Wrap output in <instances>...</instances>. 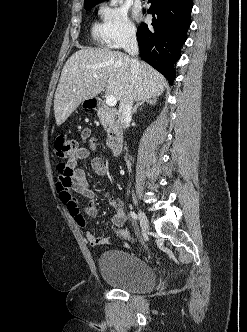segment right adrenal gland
I'll use <instances>...</instances> for the list:
<instances>
[{
	"mask_svg": "<svg viewBox=\"0 0 247 332\" xmlns=\"http://www.w3.org/2000/svg\"><path fill=\"white\" fill-rule=\"evenodd\" d=\"M145 103L150 104V105H154V104H156V98L152 97V98L144 99V100H142L140 102H137V104L135 105V107L132 110V114H135L136 111H137V109L140 106L144 105Z\"/></svg>",
	"mask_w": 247,
	"mask_h": 332,
	"instance_id": "right-adrenal-gland-1",
	"label": "right adrenal gland"
}]
</instances>
